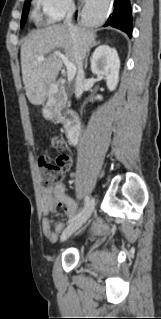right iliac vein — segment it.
I'll use <instances>...</instances> for the list:
<instances>
[{"instance_id": "1", "label": "right iliac vein", "mask_w": 161, "mask_h": 319, "mask_svg": "<svg viewBox=\"0 0 161 319\" xmlns=\"http://www.w3.org/2000/svg\"><path fill=\"white\" fill-rule=\"evenodd\" d=\"M94 207V199L91 200L87 210L75 221L71 222L62 232L60 236V241L64 242L69 236H71L75 231H77L90 217Z\"/></svg>"}]
</instances>
